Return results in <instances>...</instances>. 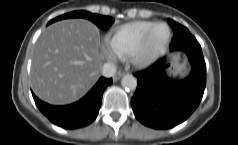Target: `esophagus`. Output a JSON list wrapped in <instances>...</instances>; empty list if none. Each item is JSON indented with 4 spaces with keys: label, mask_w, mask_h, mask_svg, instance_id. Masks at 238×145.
Returning a JSON list of instances; mask_svg holds the SVG:
<instances>
[{
    "label": "esophagus",
    "mask_w": 238,
    "mask_h": 145,
    "mask_svg": "<svg viewBox=\"0 0 238 145\" xmlns=\"http://www.w3.org/2000/svg\"><path fill=\"white\" fill-rule=\"evenodd\" d=\"M123 75H124V72L119 71V72H117V73L113 76V80H114V81H117V80H119Z\"/></svg>",
    "instance_id": "esophagus-1"
}]
</instances>
